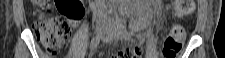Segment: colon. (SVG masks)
<instances>
[{"instance_id": "colon-1", "label": "colon", "mask_w": 225, "mask_h": 58, "mask_svg": "<svg viewBox=\"0 0 225 58\" xmlns=\"http://www.w3.org/2000/svg\"><path fill=\"white\" fill-rule=\"evenodd\" d=\"M33 4L38 15V21L35 23L38 40L49 54H56L65 46L69 35V27L63 17L80 20L85 13L83 2L79 0H36ZM193 8L192 0L173 1V12L177 18L190 15ZM184 37V28L180 25H173L163 42L162 56L164 58L176 57L183 47ZM141 52L140 46L123 49L114 58H138Z\"/></svg>"}]
</instances>
